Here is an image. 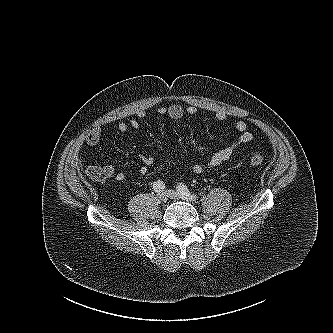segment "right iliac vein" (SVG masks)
<instances>
[{"mask_svg": "<svg viewBox=\"0 0 333 333\" xmlns=\"http://www.w3.org/2000/svg\"><path fill=\"white\" fill-rule=\"evenodd\" d=\"M158 198L160 199V201L162 202H167L168 200V196L166 193L162 192L158 194Z\"/></svg>", "mask_w": 333, "mask_h": 333, "instance_id": "1", "label": "right iliac vein"}]
</instances>
